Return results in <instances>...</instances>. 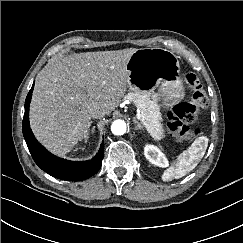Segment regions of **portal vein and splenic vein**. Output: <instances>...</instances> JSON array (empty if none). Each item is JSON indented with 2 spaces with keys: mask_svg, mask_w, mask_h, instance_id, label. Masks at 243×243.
Instances as JSON below:
<instances>
[{
  "mask_svg": "<svg viewBox=\"0 0 243 243\" xmlns=\"http://www.w3.org/2000/svg\"><path fill=\"white\" fill-rule=\"evenodd\" d=\"M136 117H137L138 120H140L141 122H143V117H142V115H141L140 112L137 113Z\"/></svg>",
  "mask_w": 243,
  "mask_h": 243,
  "instance_id": "1",
  "label": "portal vein and splenic vein"
}]
</instances>
